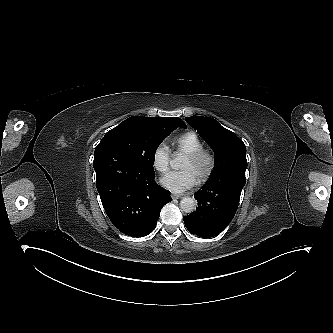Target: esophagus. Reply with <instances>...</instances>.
Wrapping results in <instances>:
<instances>
[{
    "label": "esophagus",
    "mask_w": 333,
    "mask_h": 333,
    "mask_svg": "<svg viewBox=\"0 0 333 333\" xmlns=\"http://www.w3.org/2000/svg\"><path fill=\"white\" fill-rule=\"evenodd\" d=\"M171 197H172L173 200H176V199H179L181 196L173 194V195H171Z\"/></svg>",
    "instance_id": "1"
}]
</instances>
